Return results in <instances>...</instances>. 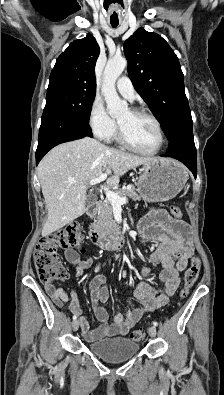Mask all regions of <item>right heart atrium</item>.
I'll return each mask as SVG.
<instances>
[{
	"label": "right heart atrium",
	"mask_w": 224,
	"mask_h": 395,
	"mask_svg": "<svg viewBox=\"0 0 224 395\" xmlns=\"http://www.w3.org/2000/svg\"><path fill=\"white\" fill-rule=\"evenodd\" d=\"M88 123L99 139H109L116 131V121L109 116L101 99L95 98L89 109Z\"/></svg>",
	"instance_id": "d8ad5b80"
}]
</instances>
